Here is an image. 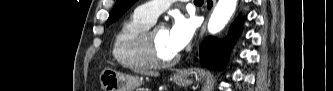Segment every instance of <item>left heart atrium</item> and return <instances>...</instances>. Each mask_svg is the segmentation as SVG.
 <instances>
[{
	"label": "left heart atrium",
	"instance_id": "1",
	"mask_svg": "<svg viewBox=\"0 0 333 91\" xmlns=\"http://www.w3.org/2000/svg\"><path fill=\"white\" fill-rule=\"evenodd\" d=\"M196 29L194 18L177 16L168 29L169 43L174 52L179 53L191 41Z\"/></svg>",
	"mask_w": 333,
	"mask_h": 91
}]
</instances>
